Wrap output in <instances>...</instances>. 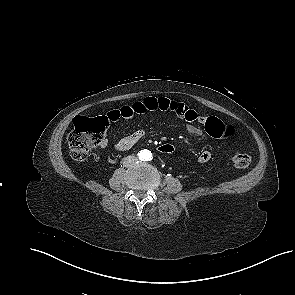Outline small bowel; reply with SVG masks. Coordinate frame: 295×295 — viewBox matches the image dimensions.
I'll return each instance as SVG.
<instances>
[{"mask_svg": "<svg viewBox=\"0 0 295 295\" xmlns=\"http://www.w3.org/2000/svg\"><path fill=\"white\" fill-rule=\"evenodd\" d=\"M152 111H170L178 117L184 119L187 124V131L192 137H200L202 129L196 123L206 126L207 122L214 117H208L198 114L194 109L188 107L182 102L171 100L165 97H145L142 100L135 101L129 105H124L118 109L110 110L105 118L109 122H115L119 119H130L135 115L144 114ZM218 120V119H217ZM145 133L143 130H137L127 136L122 137L116 144V149L120 151L128 150L137 144ZM107 145L106 141L101 143V147ZM209 151H202L198 156L200 163H207L211 160Z\"/></svg>", "mask_w": 295, "mask_h": 295, "instance_id": "obj_1", "label": "small bowel"}]
</instances>
